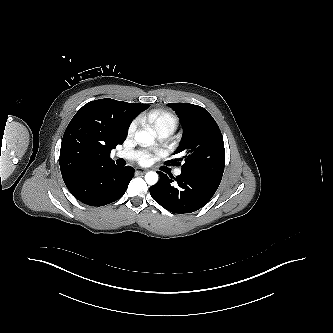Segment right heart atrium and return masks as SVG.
I'll list each match as a JSON object with an SVG mask.
<instances>
[{"label":"right heart atrium","mask_w":333,"mask_h":333,"mask_svg":"<svg viewBox=\"0 0 333 333\" xmlns=\"http://www.w3.org/2000/svg\"><path fill=\"white\" fill-rule=\"evenodd\" d=\"M138 123H139V120L138 119H135L134 121L131 122V124L129 125V128H128V134L129 135H133L137 126H138Z\"/></svg>","instance_id":"obj_1"}]
</instances>
